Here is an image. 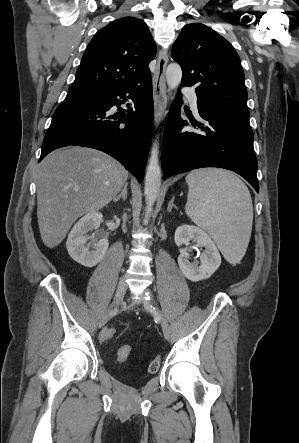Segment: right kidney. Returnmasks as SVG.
Here are the masks:
<instances>
[{
	"instance_id": "obj_1",
	"label": "right kidney",
	"mask_w": 299,
	"mask_h": 443,
	"mask_svg": "<svg viewBox=\"0 0 299 443\" xmlns=\"http://www.w3.org/2000/svg\"><path fill=\"white\" fill-rule=\"evenodd\" d=\"M102 214L100 212H90L83 216L73 226L68 235L66 247L70 257L86 267H93L97 265L105 256L108 250V240L100 238L92 240L88 235L90 231L98 229L102 221Z\"/></svg>"
}]
</instances>
